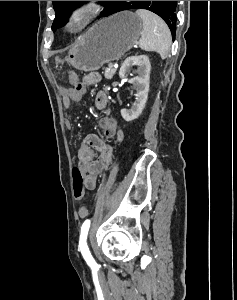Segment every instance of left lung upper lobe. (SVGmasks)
I'll return each mask as SVG.
<instances>
[{
	"label": "left lung upper lobe",
	"instance_id": "5c2ea615",
	"mask_svg": "<svg viewBox=\"0 0 237 300\" xmlns=\"http://www.w3.org/2000/svg\"><path fill=\"white\" fill-rule=\"evenodd\" d=\"M84 1H53V8L55 10V19L52 24V30H55L67 21V17L71 10L79 3ZM105 4V10L102 13L103 16L110 15L111 7L116 1H101ZM176 6L177 1H119L118 10L129 9H147L150 10L167 23L171 30L172 35L176 34Z\"/></svg>",
	"mask_w": 237,
	"mask_h": 300
}]
</instances>
